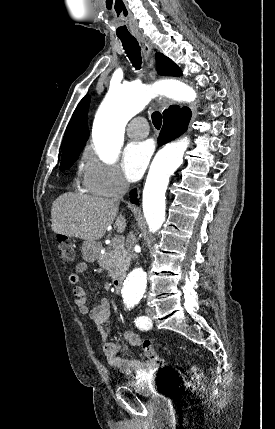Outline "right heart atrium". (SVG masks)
I'll list each match as a JSON object with an SVG mask.
<instances>
[{
	"mask_svg": "<svg viewBox=\"0 0 275 429\" xmlns=\"http://www.w3.org/2000/svg\"><path fill=\"white\" fill-rule=\"evenodd\" d=\"M81 171L84 188L94 195L113 197L128 186L116 165L103 162L89 149L83 153Z\"/></svg>",
	"mask_w": 275,
	"mask_h": 429,
	"instance_id": "right-heart-atrium-1",
	"label": "right heart atrium"
}]
</instances>
